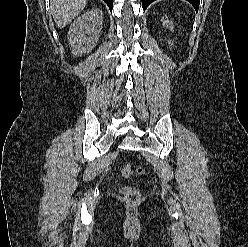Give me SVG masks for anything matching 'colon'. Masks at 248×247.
<instances>
[{"label": "colon", "instance_id": "1", "mask_svg": "<svg viewBox=\"0 0 248 247\" xmlns=\"http://www.w3.org/2000/svg\"><path fill=\"white\" fill-rule=\"evenodd\" d=\"M143 172L142 168H136L130 163H126L121 170L124 177L129 178L136 174H141ZM123 200L131 205H134L140 200V192L134 187H123L121 189Z\"/></svg>", "mask_w": 248, "mask_h": 247}]
</instances>
